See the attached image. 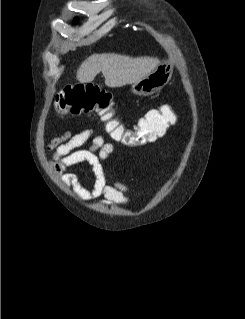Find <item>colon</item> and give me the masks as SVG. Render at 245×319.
I'll return each mask as SVG.
<instances>
[{
  "mask_svg": "<svg viewBox=\"0 0 245 319\" xmlns=\"http://www.w3.org/2000/svg\"><path fill=\"white\" fill-rule=\"evenodd\" d=\"M55 106L64 115L95 113L108 123L111 136L127 147L152 143L160 138L175 120L169 107L147 112L135 129H129L113 118L115 103L112 95L95 84H75L61 90Z\"/></svg>",
  "mask_w": 245,
  "mask_h": 319,
  "instance_id": "colon-1",
  "label": "colon"
}]
</instances>
